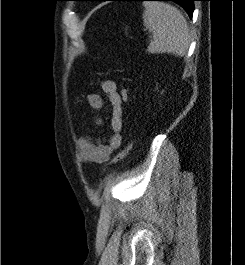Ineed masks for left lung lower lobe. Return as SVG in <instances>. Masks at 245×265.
Instances as JSON below:
<instances>
[{"label":"left lung lower lobe","mask_w":245,"mask_h":265,"mask_svg":"<svg viewBox=\"0 0 245 265\" xmlns=\"http://www.w3.org/2000/svg\"><path fill=\"white\" fill-rule=\"evenodd\" d=\"M90 1H108V0H90ZM110 1H147V0H110ZM158 1H174L179 5H181L189 14V16L192 17L194 10L193 2L198 0H158Z\"/></svg>","instance_id":"1"}]
</instances>
